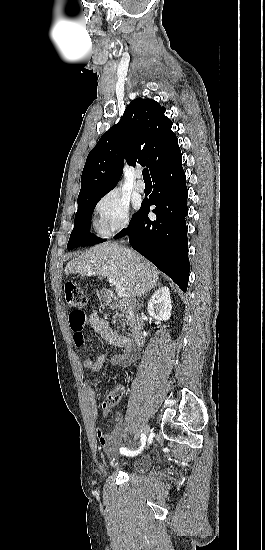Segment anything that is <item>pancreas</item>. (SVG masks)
<instances>
[{"mask_svg":"<svg viewBox=\"0 0 265 550\" xmlns=\"http://www.w3.org/2000/svg\"><path fill=\"white\" fill-rule=\"evenodd\" d=\"M117 316L126 323H129L132 319L131 312L128 309L120 310L119 312H117Z\"/></svg>","mask_w":265,"mask_h":550,"instance_id":"cf45deb5","label":"pancreas"}]
</instances>
